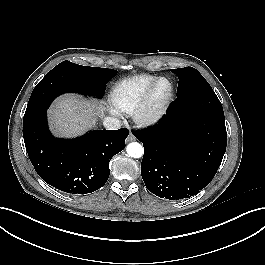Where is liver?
Here are the masks:
<instances>
[{
  "label": "liver",
  "mask_w": 265,
  "mask_h": 265,
  "mask_svg": "<svg viewBox=\"0 0 265 265\" xmlns=\"http://www.w3.org/2000/svg\"><path fill=\"white\" fill-rule=\"evenodd\" d=\"M104 103L89 101L76 95H64L49 110L52 132L59 137H75L85 133L103 117Z\"/></svg>",
  "instance_id": "obj_1"
}]
</instances>
